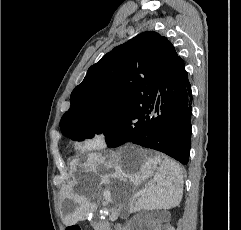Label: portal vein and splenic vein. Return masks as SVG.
Here are the masks:
<instances>
[{
	"mask_svg": "<svg viewBox=\"0 0 241 230\" xmlns=\"http://www.w3.org/2000/svg\"><path fill=\"white\" fill-rule=\"evenodd\" d=\"M104 199L107 201H111V196L108 194H104Z\"/></svg>",
	"mask_w": 241,
	"mask_h": 230,
	"instance_id": "1",
	"label": "portal vein and splenic vein"
}]
</instances>
